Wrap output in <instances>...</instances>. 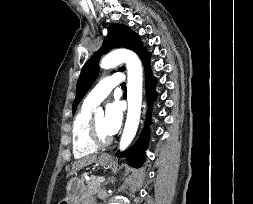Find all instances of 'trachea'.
Segmentation results:
<instances>
[{
	"mask_svg": "<svg viewBox=\"0 0 253 204\" xmlns=\"http://www.w3.org/2000/svg\"><path fill=\"white\" fill-rule=\"evenodd\" d=\"M121 87H122V88H125V87H126V84L123 82V83L121 84Z\"/></svg>",
	"mask_w": 253,
	"mask_h": 204,
	"instance_id": "trachea-1",
	"label": "trachea"
}]
</instances>
